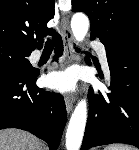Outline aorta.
<instances>
[{"label": "aorta", "mask_w": 139, "mask_h": 150, "mask_svg": "<svg viewBox=\"0 0 139 150\" xmlns=\"http://www.w3.org/2000/svg\"><path fill=\"white\" fill-rule=\"evenodd\" d=\"M71 29L78 42L83 41L88 29L89 19L84 13H75L71 19ZM87 121V102L82 99L75 107L66 132V150H80Z\"/></svg>", "instance_id": "obj_1"}]
</instances>
